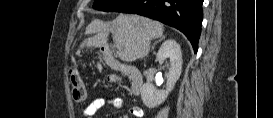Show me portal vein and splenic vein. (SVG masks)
<instances>
[{"label":"portal vein and splenic vein","instance_id":"18ae733b","mask_svg":"<svg viewBox=\"0 0 273 118\" xmlns=\"http://www.w3.org/2000/svg\"><path fill=\"white\" fill-rule=\"evenodd\" d=\"M115 46L117 47L118 50H122V46L120 44L116 43Z\"/></svg>","mask_w":273,"mask_h":118}]
</instances>
